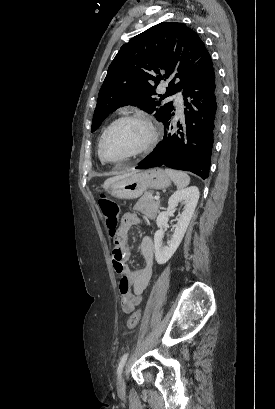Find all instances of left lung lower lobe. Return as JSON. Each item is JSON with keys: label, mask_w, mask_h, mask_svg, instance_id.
Returning <instances> with one entry per match:
<instances>
[{"label": "left lung lower lobe", "mask_w": 275, "mask_h": 409, "mask_svg": "<svg viewBox=\"0 0 275 409\" xmlns=\"http://www.w3.org/2000/svg\"><path fill=\"white\" fill-rule=\"evenodd\" d=\"M185 126L174 130V109L165 119L163 140L137 169L165 165L209 177L214 138L221 119V84L212 66L183 89Z\"/></svg>", "instance_id": "0a47b994"}]
</instances>
